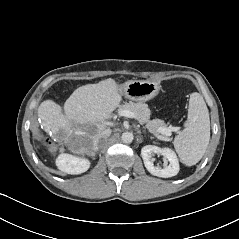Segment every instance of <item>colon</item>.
<instances>
[{
	"mask_svg": "<svg viewBox=\"0 0 239 239\" xmlns=\"http://www.w3.org/2000/svg\"><path fill=\"white\" fill-rule=\"evenodd\" d=\"M39 137H40L41 140H43V141L46 142L47 144H50V143H51L50 140H49L48 138L44 137L43 135H40Z\"/></svg>",
	"mask_w": 239,
	"mask_h": 239,
	"instance_id": "colon-1",
	"label": "colon"
}]
</instances>
